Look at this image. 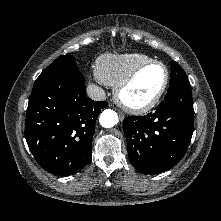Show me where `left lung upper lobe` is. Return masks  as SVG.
Segmentation results:
<instances>
[{"instance_id": "obj_1", "label": "left lung upper lobe", "mask_w": 221, "mask_h": 221, "mask_svg": "<svg viewBox=\"0 0 221 221\" xmlns=\"http://www.w3.org/2000/svg\"><path fill=\"white\" fill-rule=\"evenodd\" d=\"M183 86H190L186 73L177 62L172 61L170 86L167 91V94L172 93L176 89Z\"/></svg>"}]
</instances>
